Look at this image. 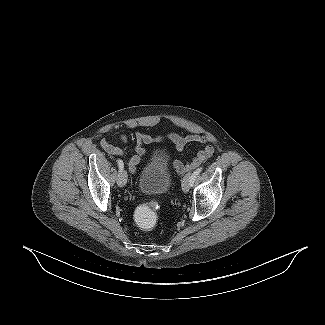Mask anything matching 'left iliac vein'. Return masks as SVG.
<instances>
[{
    "label": "left iliac vein",
    "mask_w": 325,
    "mask_h": 325,
    "mask_svg": "<svg viewBox=\"0 0 325 325\" xmlns=\"http://www.w3.org/2000/svg\"><path fill=\"white\" fill-rule=\"evenodd\" d=\"M190 180H191V175L190 174H186L182 180V190L183 192L187 193L190 189Z\"/></svg>",
    "instance_id": "1"
}]
</instances>
